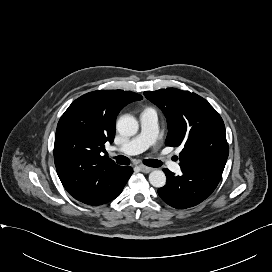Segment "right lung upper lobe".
Listing matches in <instances>:
<instances>
[{"label":"right lung upper lobe","instance_id":"right-lung-upper-lobe-1","mask_svg":"<svg viewBox=\"0 0 272 272\" xmlns=\"http://www.w3.org/2000/svg\"><path fill=\"white\" fill-rule=\"evenodd\" d=\"M141 99L130 91L99 90L79 97L64 112L56 129L54 162L69 194L82 192L120 167L100 153L114 140L120 110Z\"/></svg>","mask_w":272,"mask_h":272}]
</instances>
